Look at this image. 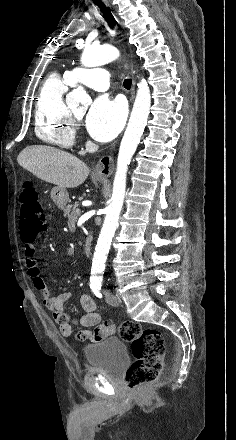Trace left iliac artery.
I'll use <instances>...</instances> for the list:
<instances>
[{
	"label": "left iliac artery",
	"mask_w": 236,
	"mask_h": 440,
	"mask_svg": "<svg viewBox=\"0 0 236 440\" xmlns=\"http://www.w3.org/2000/svg\"><path fill=\"white\" fill-rule=\"evenodd\" d=\"M100 289H101L100 286H95V287L93 288V292H94V294L96 295V297H98V298H101V297H102V294L100 293Z\"/></svg>",
	"instance_id": "1"
}]
</instances>
